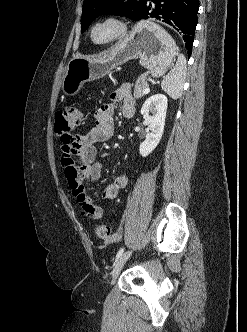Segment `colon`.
<instances>
[{
    "instance_id": "5ec220e1",
    "label": "colon",
    "mask_w": 247,
    "mask_h": 332,
    "mask_svg": "<svg viewBox=\"0 0 247 332\" xmlns=\"http://www.w3.org/2000/svg\"><path fill=\"white\" fill-rule=\"evenodd\" d=\"M81 120V112L75 105L68 106L65 110L55 115V134L64 145H74L75 139L72 131L78 126ZM97 237L105 240L117 239V235H113L111 228L107 224H97L94 228Z\"/></svg>"
}]
</instances>
